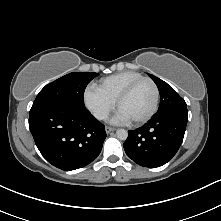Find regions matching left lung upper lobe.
Wrapping results in <instances>:
<instances>
[{"mask_svg": "<svg viewBox=\"0 0 221 221\" xmlns=\"http://www.w3.org/2000/svg\"><path fill=\"white\" fill-rule=\"evenodd\" d=\"M149 76L156 83L160 92V106L154 116L173 109L187 108L184 99H182L166 82L155 77L154 75L149 74Z\"/></svg>", "mask_w": 221, "mask_h": 221, "instance_id": "1", "label": "left lung upper lobe"}]
</instances>
